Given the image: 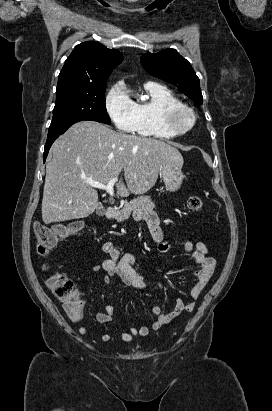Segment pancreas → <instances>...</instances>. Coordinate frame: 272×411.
<instances>
[{
  "instance_id": "pancreas-1",
  "label": "pancreas",
  "mask_w": 272,
  "mask_h": 411,
  "mask_svg": "<svg viewBox=\"0 0 272 411\" xmlns=\"http://www.w3.org/2000/svg\"><path fill=\"white\" fill-rule=\"evenodd\" d=\"M155 204L152 202L150 196H139L129 203H126L124 207L116 216L118 222H122L128 219L132 212H136L142 209H154Z\"/></svg>"
}]
</instances>
